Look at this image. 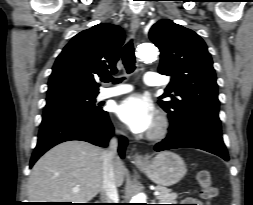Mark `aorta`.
Segmentation results:
<instances>
[{
    "label": "aorta",
    "mask_w": 253,
    "mask_h": 205,
    "mask_svg": "<svg viewBox=\"0 0 253 205\" xmlns=\"http://www.w3.org/2000/svg\"><path fill=\"white\" fill-rule=\"evenodd\" d=\"M139 59L144 62L150 63L157 59L158 49L152 43H143L137 50ZM132 203H146V197L144 195H137L133 198Z\"/></svg>",
    "instance_id": "1"
}]
</instances>
